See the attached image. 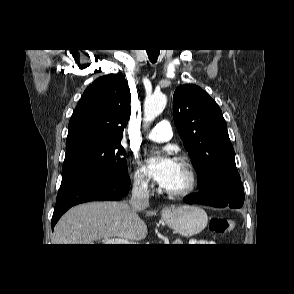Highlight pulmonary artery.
I'll use <instances>...</instances> for the list:
<instances>
[{
  "mask_svg": "<svg viewBox=\"0 0 294 294\" xmlns=\"http://www.w3.org/2000/svg\"><path fill=\"white\" fill-rule=\"evenodd\" d=\"M147 139L154 142H166L172 138V130L168 121L164 120L155 125L147 134Z\"/></svg>",
  "mask_w": 294,
  "mask_h": 294,
  "instance_id": "obj_1",
  "label": "pulmonary artery"
}]
</instances>
